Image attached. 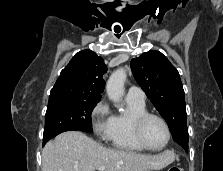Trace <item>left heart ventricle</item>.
Segmentation results:
<instances>
[{
    "mask_svg": "<svg viewBox=\"0 0 223 171\" xmlns=\"http://www.w3.org/2000/svg\"><path fill=\"white\" fill-rule=\"evenodd\" d=\"M143 137L152 147H161L167 139V131L161 121L149 118L143 126Z\"/></svg>",
    "mask_w": 223,
    "mask_h": 171,
    "instance_id": "1",
    "label": "left heart ventricle"
}]
</instances>
